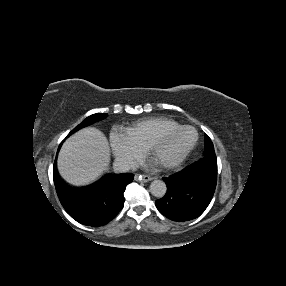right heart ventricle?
Wrapping results in <instances>:
<instances>
[{
  "label": "right heart ventricle",
  "mask_w": 286,
  "mask_h": 286,
  "mask_svg": "<svg viewBox=\"0 0 286 286\" xmlns=\"http://www.w3.org/2000/svg\"><path fill=\"white\" fill-rule=\"evenodd\" d=\"M181 124L166 117L142 118L126 128V131L142 146L147 148L148 144L169 131H172Z\"/></svg>",
  "instance_id": "right-heart-ventricle-1"
}]
</instances>
